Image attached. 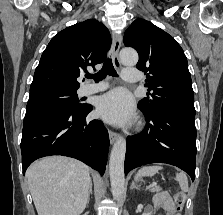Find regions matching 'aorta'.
Wrapping results in <instances>:
<instances>
[{
	"label": "aorta",
	"mask_w": 223,
	"mask_h": 215,
	"mask_svg": "<svg viewBox=\"0 0 223 215\" xmlns=\"http://www.w3.org/2000/svg\"><path fill=\"white\" fill-rule=\"evenodd\" d=\"M121 64L124 66H136L139 58L137 52L132 48H123L120 54ZM126 151V139L119 135L110 153L109 173L111 181V191L114 199H120L124 185V159Z\"/></svg>",
	"instance_id": "1"
}]
</instances>
